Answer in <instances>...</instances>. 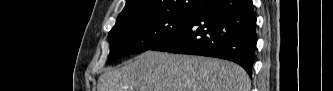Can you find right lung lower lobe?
Segmentation results:
<instances>
[{"label":"right lung lower lobe","mask_w":333,"mask_h":91,"mask_svg":"<svg viewBox=\"0 0 333 91\" xmlns=\"http://www.w3.org/2000/svg\"><path fill=\"white\" fill-rule=\"evenodd\" d=\"M256 42L252 0H213L151 50L227 59L252 76Z\"/></svg>","instance_id":"right-lung-lower-lobe-1"}]
</instances>
